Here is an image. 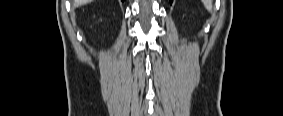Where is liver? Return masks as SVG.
I'll use <instances>...</instances> for the list:
<instances>
[{
  "label": "liver",
  "mask_w": 283,
  "mask_h": 116,
  "mask_svg": "<svg viewBox=\"0 0 283 116\" xmlns=\"http://www.w3.org/2000/svg\"><path fill=\"white\" fill-rule=\"evenodd\" d=\"M92 0H73L72 1V4L74 7H77V6H81V5H84V4H87L89 2H91Z\"/></svg>",
  "instance_id": "obj_1"
}]
</instances>
